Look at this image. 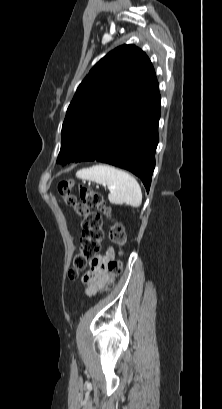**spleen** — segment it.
<instances>
[{
  "label": "spleen",
  "mask_w": 222,
  "mask_h": 409,
  "mask_svg": "<svg viewBox=\"0 0 222 409\" xmlns=\"http://www.w3.org/2000/svg\"><path fill=\"white\" fill-rule=\"evenodd\" d=\"M76 177L105 184L111 188L108 199L112 204H127L137 208L142 203V191L129 173L109 165H94L77 171Z\"/></svg>",
  "instance_id": "obj_1"
}]
</instances>
